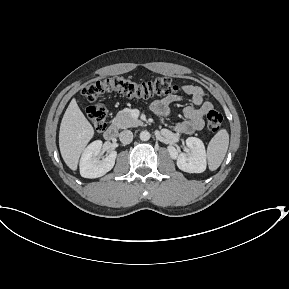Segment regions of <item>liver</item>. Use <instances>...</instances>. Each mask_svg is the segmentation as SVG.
<instances>
[{
  "instance_id": "liver-1",
  "label": "liver",
  "mask_w": 289,
  "mask_h": 289,
  "mask_svg": "<svg viewBox=\"0 0 289 289\" xmlns=\"http://www.w3.org/2000/svg\"><path fill=\"white\" fill-rule=\"evenodd\" d=\"M94 129L73 98L66 109L59 131L61 156L71 170H76L81 153L92 139Z\"/></svg>"
}]
</instances>
